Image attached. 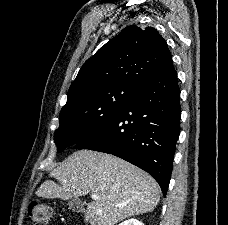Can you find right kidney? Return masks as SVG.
Returning a JSON list of instances; mask_svg holds the SVG:
<instances>
[{
  "instance_id": "right-kidney-1",
  "label": "right kidney",
  "mask_w": 228,
  "mask_h": 225,
  "mask_svg": "<svg viewBox=\"0 0 228 225\" xmlns=\"http://www.w3.org/2000/svg\"><path fill=\"white\" fill-rule=\"evenodd\" d=\"M120 225H144V223H141L138 219H128V221H123Z\"/></svg>"
}]
</instances>
